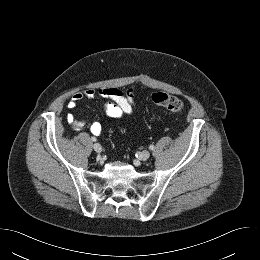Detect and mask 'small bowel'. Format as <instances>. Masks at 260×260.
<instances>
[{
    "mask_svg": "<svg viewBox=\"0 0 260 260\" xmlns=\"http://www.w3.org/2000/svg\"><path fill=\"white\" fill-rule=\"evenodd\" d=\"M96 98L106 100L102 104V108L112 118H120L131 114L135 108V90L129 89L124 92L117 88L85 89L77 92L67 102V108L74 110L81 100H93ZM66 121L76 131L82 130L87 126L86 121L76 118L72 113L66 115ZM90 131L92 134L100 136L103 132V127L99 122H93L90 125Z\"/></svg>",
    "mask_w": 260,
    "mask_h": 260,
    "instance_id": "c3829d8e",
    "label": "small bowel"
}]
</instances>
